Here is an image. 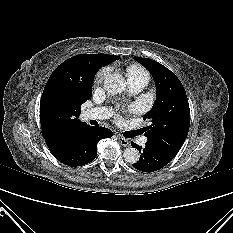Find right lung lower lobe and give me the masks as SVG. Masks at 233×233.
Listing matches in <instances>:
<instances>
[{
	"label": "right lung lower lobe",
	"instance_id": "obj_1",
	"mask_svg": "<svg viewBox=\"0 0 233 233\" xmlns=\"http://www.w3.org/2000/svg\"><path fill=\"white\" fill-rule=\"evenodd\" d=\"M112 135V131L107 128L85 124L78 128L67 145L52 154L65 165L81 166L96 158L98 141Z\"/></svg>",
	"mask_w": 233,
	"mask_h": 233
}]
</instances>
